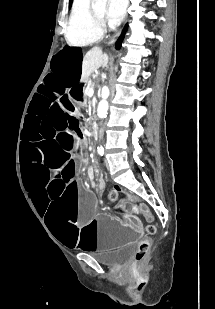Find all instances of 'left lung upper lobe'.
<instances>
[{"mask_svg":"<svg viewBox=\"0 0 215 309\" xmlns=\"http://www.w3.org/2000/svg\"><path fill=\"white\" fill-rule=\"evenodd\" d=\"M71 3H72V0H70V3H69V5H71Z\"/></svg>","mask_w":215,"mask_h":309,"instance_id":"obj_1","label":"left lung upper lobe"}]
</instances>
